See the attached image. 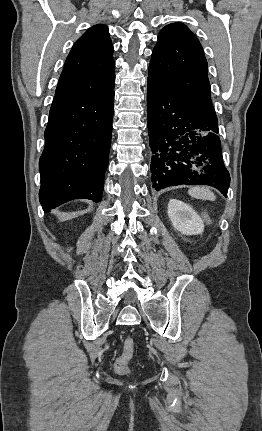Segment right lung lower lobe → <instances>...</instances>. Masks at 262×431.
Segmentation results:
<instances>
[{"label": "right lung lower lobe", "mask_w": 262, "mask_h": 431, "mask_svg": "<svg viewBox=\"0 0 262 431\" xmlns=\"http://www.w3.org/2000/svg\"><path fill=\"white\" fill-rule=\"evenodd\" d=\"M113 102L114 89L99 97H54L39 161L45 213L76 198L101 201Z\"/></svg>", "instance_id": "obj_1"}]
</instances>
